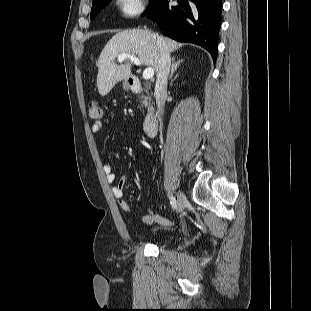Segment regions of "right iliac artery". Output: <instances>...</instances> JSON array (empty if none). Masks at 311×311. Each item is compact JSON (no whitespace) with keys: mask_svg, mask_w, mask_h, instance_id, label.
<instances>
[{"mask_svg":"<svg viewBox=\"0 0 311 311\" xmlns=\"http://www.w3.org/2000/svg\"><path fill=\"white\" fill-rule=\"evenodd\" d=\"M169 199H170V203L172 205V208L175 209L177 207V203H176V199L175 197H173L172 195L169 196Z\"/></svg>","mask_w":311,"mask_h":311,"instance_id":"obj_1","label":"right iliac artery"}]
</instances>
